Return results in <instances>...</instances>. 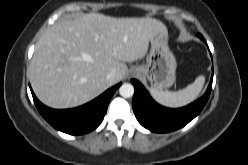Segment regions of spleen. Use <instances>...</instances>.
Segmentation results:
<instances>
[{"label":"spleen","instance_id":"3e777b00","mask_svg":"<svg viewBox=\"0 0 248 165\" xmlns=\"http://www.w3.org/2000/svg\"><path fill=\"white\" fill-rule=\"evenodd\" d=\"M204 83L205 77L200 75L192 84L177 92L160 91L151 87L150 93L158 103L167 107L177 108L194 101L201 92Z\"/></svg>","mask_w":248,"mask_h":165}]
</instances>
